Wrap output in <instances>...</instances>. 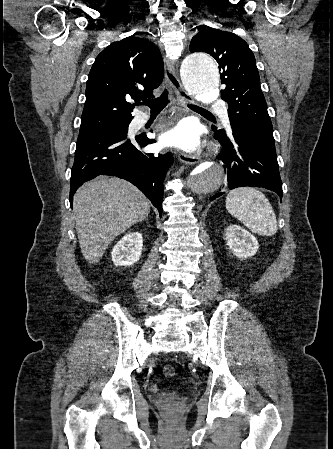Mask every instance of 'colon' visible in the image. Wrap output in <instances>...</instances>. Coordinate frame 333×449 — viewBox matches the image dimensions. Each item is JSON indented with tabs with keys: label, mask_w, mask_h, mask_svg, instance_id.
I'll use <instances>...</instances> for the list:
<instances>
[{
	"label": "colon",
	"mask_w": 333,
	"mask_h": 449,
	"mask_svg": "<svg viewBox=\"0 0 333 449\" xmlns=\"http://www.w3.org/2000/svg\"><path fill=\"white\" fill-rule=\"evenodd\" d=\"M163 374L166 377H173L175 375V368L172 365H165L163 367Z\"/></svg>",
	"instance_id": "1"
}]
</instances>
